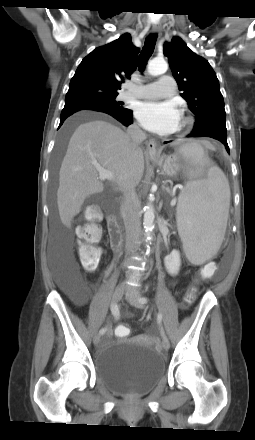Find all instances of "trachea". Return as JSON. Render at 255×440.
Returning <instances> with one entry per match:
<instances>
[{"instance_id": "3493384b", "label": "trachea", "mask_w": 255, "mask_h": 440, "mask_svg": "<svg viewBox=\"0 0 255 440\" xmlns=\"http://www.w3.org/2000/svg\"><path fill=\"white\" fill-rule=\"evenodd\" d=\"M156 39H157V35L151 34L145 40V43H144L143 49L139 55V61H138L139 69L141 72L144 71L145 66L147 64V61L149 60V58L151 57V55L154 51Z\"/></svg>"}]
</instances>
